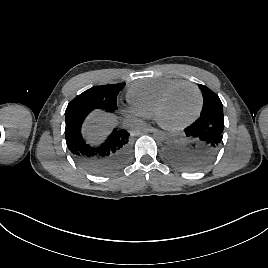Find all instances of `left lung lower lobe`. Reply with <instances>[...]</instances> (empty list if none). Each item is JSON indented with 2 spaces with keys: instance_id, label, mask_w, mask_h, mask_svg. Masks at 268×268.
I'll use <instances>...</instances> for the list:
<instances>
[{
  "instance_id": "1",
  "label": "left lung lower lobe",
  "mask_w": 268,
  "mask_h": 268,
  "mask_svg": "<svg viewBox=\"0 0 268 268\" xmlns=\"http://www.w3.org/2000/svg\"><path fill=\"white\" fill-rule=\"evenodd\" d=\"M223 115L200 117L184 129L166 147L168 163L178 169H198L209 164L217 155L223 138Z\"/></svg>"
}]
</instances>
